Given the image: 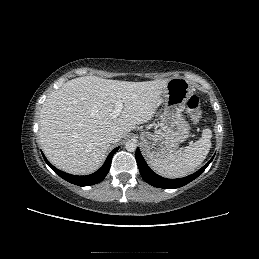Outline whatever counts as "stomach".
<instances>
[{"label": "stomach", "instance_id": "stomach-1", "mask_svg": "<svg viewBox=\"0 0 259 259\" xmlns=\"http://www.w3.org/2000/svg\"><path fill=\"white\" fill-rule=\"evenodd\" d=\"M193 94V88L183 78H172L166 84L161 102L164 105L160 115V130L142 134L145 156L149 160L170 157L190 133V126L182 112Z\"/></svg>", "mask_w": 259, "mask_h": 259}]
</instances>
